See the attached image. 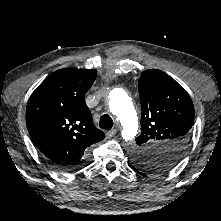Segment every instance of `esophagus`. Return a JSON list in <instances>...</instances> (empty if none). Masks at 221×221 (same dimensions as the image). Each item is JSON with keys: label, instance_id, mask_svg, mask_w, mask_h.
<instances>
[{"label": "esophagus", "instance_id": "1", "mask_svg": "<svg viewBox=\"0 0 221 221\" xmlns=\"http://www.w3.org/2000/svg\"><path fill=\"white\" fill-rule=\"evenodd\" d=\"M116 132H117L116 129H111V130L106 132V136L108 138H111V137H113L116 134Z\"/></svg>", "mask_w": 221, "mask_h": 221}]
</instances>
